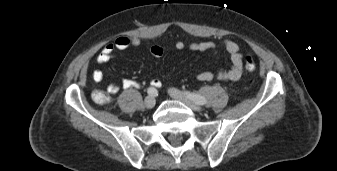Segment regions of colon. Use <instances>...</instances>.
<instances>
[{"mask_svg":"<svg viewBox=\"0 0 337 171\" xmlns=\"http://www.w3.org/2000/svg\"><path fill=\"white\" fill-rule=\"evenodd\" d=\"M244 67L247 71H253L256 68L254 59L251 56H247L244 60ZM93 100L98 104H105L109 101V97L103 91H96L93 93Z\"/></svg>","mask_w":337,"mask_h":171,"instance_id":"1","label":"colon"}]
</instances>
